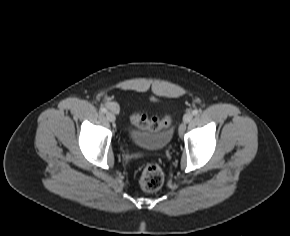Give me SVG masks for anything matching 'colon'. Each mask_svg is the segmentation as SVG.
<instances>
[{
  "instance_id": "5ec220e1",
  "label": "colon",
  "mask_w": 290,
  "mask_h": 236,
  "mask_svg": "<svg viewBox=\"0 0 290 236\" xmlns=\"http://www.w3.org/2000/svg\"><path fill=\"white\" fill-rule=\"evenodd\" d=\"M131 122L140 129L157 132L170 127L172 120L168 115L159 118L136 112L132 115ZM139 182L144 191L153 192L160 189L164 183L161 167L155 163L147 164L142 170Z\"/></svg>"
}]
</instances>
